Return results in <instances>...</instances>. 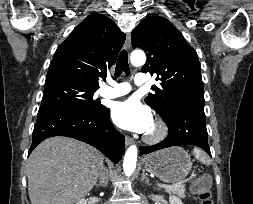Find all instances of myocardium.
<instances>
[{"instance_id":"f54148a6","label":"myocardium","mask_w":253,"mask_h":204,"mask_svg":"<svg viewBox=\"0 0 253 204\" xmlns=\"http://www.w3.org/2000/svg\"><path fill=\"white\" fill-rule=\"evenodd\" d=\"M154 131L144 135L143 140L148 144H158L162 142L168 134V127L162 119L153 121Z\"/></svg>"}]
</instances>
